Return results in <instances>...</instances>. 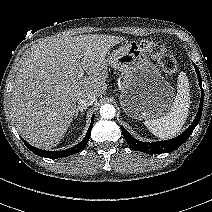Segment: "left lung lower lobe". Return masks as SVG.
I'll list each match as a JSON object with an SVG mask.
<instances>
[{
    "mask_svg": "<svg viewBox=\"0 0 212 212\" xmlns=\"http://www.w3.org/2000/svg\"><path fill=\"white\" fill-rule=\"evenodd\" d=\"M197 73V77L199 80L200 88H201V99L199 104V110L198 113L192 122V124L187 128L181 135L165 141H158L153 143H147V142H141L134 137H132L126 129L121 126L122 134L124 135V138L126 142L133 148L138 151L148 153V154H161V153H169L174 150H176L178 147H180L192 134L194 128L199 123L201 114H202V108H203V89H202V80L199 73V70L195 64H193Z\"/></svg>",
    "mask_w": 212,
    "mask_h": 212,
    "instance_id": "0a47b994",
    "label": "left lung lower lobe"
}]
</instances>
